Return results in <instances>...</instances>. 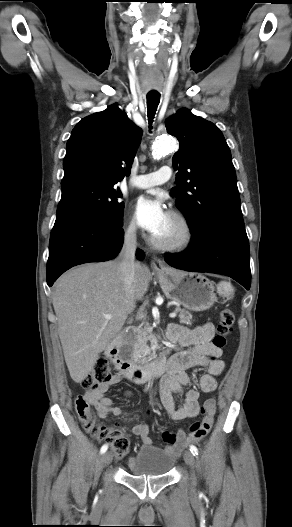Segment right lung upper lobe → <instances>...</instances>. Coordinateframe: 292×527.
I'll use <instances>...</instances> for the list:
<instances>
[{
  "instance_id": "obj_1",
  "label": "right lung upper lobe",
  "mask_w": 292,
  "mask_h": 527,
  "mask_svg": "<svg viewBox=\"0 0 292 527\" xmlns=\"http://www.w3.org/2000/svg\"><path fill=\"white\" fill-rule=\"evenodd\" d=\"M141 134L116 104L82 119L67 142L62 183L85 178L115 185L130 174Z\"/></svg>"
}]
</instances>
